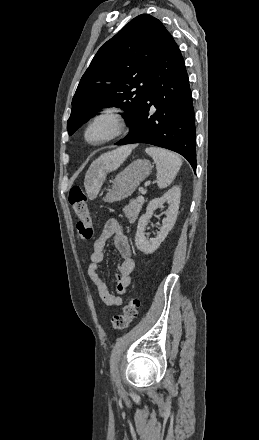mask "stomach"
<instances>
[{
	"label": "stomach",
	"mask_w": 259,
	"mask_h": 440,
	"mask_svg": "<svg viewBox=\"0 0 259 440\" xmlns=\"http://www.w3.org/2000/svg\"><path fill=\"white\" fill-rule=\"evenodd\" d=\"M152 167L151 162L146 159H138L132 162L115 177L112 182V188L104 200L114 202L131 196L140 183L149 176ZM85 183L90 188L93 186L91 171Z\"/></svg>",
	"instance_id": "1"
}]
</instances>
